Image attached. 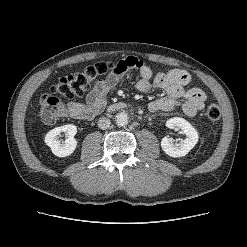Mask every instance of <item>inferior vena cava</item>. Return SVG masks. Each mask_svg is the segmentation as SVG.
I'll return each mask as SVG.
<instances>
[{
	"mask_svg": "<svg viewBox=\"0 0 247 247\" xmlns=\"http://www.w3.org/2000/svg\"><path fill=\"white\" fill-rule=\"evenodd\" d=\"M110 124H111L110 120L106 117H101L98 120V127L102 130L109 128Z\"/></svg>",
	"mask_w": 247,
	"mask_h": 247,
	"instance_id": "obj_1",
	"label": "inferior vena cava"
}]
</instances>
